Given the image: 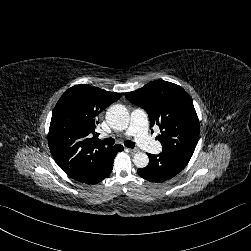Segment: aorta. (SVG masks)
<instances>
[{"label": "aorta", "instance_id": "aorta-1", "mask_svg": "<svg viewBox=\"0 0 251 251\" xmlns=\"http://www.w3.org/2000/svg\"><path fill=\"white\" fill-rule=\"evenodd\" d=\"M106 121L114 130H125L130 121L129 113L123 105H113L106 112ZM133 163L137 168H145L149 163L148 155L143 152H136L133 156Z\"/></svg>", "mask_w": 251, "mask_h": 251}]
</instances>
